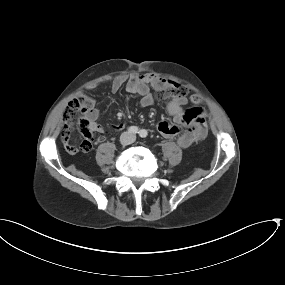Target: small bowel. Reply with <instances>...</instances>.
I'll return each instance as SVG.
<instances>
[{"label": "small bowel", "instance_id": "obj_1", "mask_svg": "<svg viewBox=\"0 0 285 285\" xmlns=\"http://www.w3.org/2000/svg\"><path fill=\"white\" fill-rule=\"evenodd\" d=\"M158 77L155 74H134L129 77L118 76L111 83V91L117 92L125 84L126 91L129 94L138 95L140 97V105L142 107H150L154 104L153 96L150 92V86H156ZM97 83H92L88 86V91L91 92L97 88ZM93 101L91 97H88ZM186 99L184 97H176L166 103L168 113L173 117L174 124L166 121H161L156 126V131L165 138H177V144L181 148L200 143L207 135V127L205 123V113L201 108L190 110L184 109ZM98 111L93 109L88 114V120L91 124V131L95 133L106 132V127L97 122ZM188 129L183 131V127ZM125 124L119 122L111 126L110 131L118 132L124 129ZM72 125H66V135L64 147L68 154L75 155L80 152H89L92 149V141L85 139L79 145L71 143L69 140Z\"/></svg>", "mask_w": 285, "mask_h": 285}]
</instances>
